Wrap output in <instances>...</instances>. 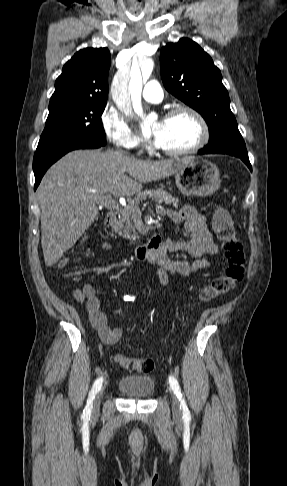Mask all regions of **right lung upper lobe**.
Returning a JSON list of instances; mask_svg holds the SVG:
<instances>
[{
  "instance_id": "cb5924a9",
  "label": "right lung upper lobe",
  "mask_w": 287,
  "mask_h": 486,
  "mask_svg": "<svg viewBox=\"0 0 287 486\" xmlns=\"http://www.w3.org/2000/svg\"><path fill=\"white\" fill-rule=\"evenodd\" d=\"M110 58L107 48L78 51L56 79L49 107L84 100H107Z\"/></svg>"
}]
</instances>
